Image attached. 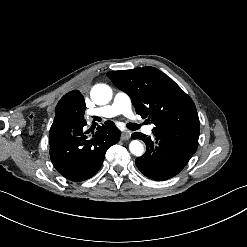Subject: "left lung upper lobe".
I'll return each mask as SVG.
<instances>
[{
	"mask_svg": "<svg viewBox=\"0 0 247 247\" xmlns=\"http://www.w3.org/2000/svg\"><path fill=\"white\" fill-rule=\"evenodd\" d=\"M107 76L131 97L136 112L151 120L155 136L196 152L200 132L197 110L172 79L149 66L112 71Z\"/></svg>",
	"mask_w": 247,
	"mask_h": 247,
	"instance_id": "left-lung-upper-lobe-1",
	"label": "left lung upper lobe"
}]
</instances>
